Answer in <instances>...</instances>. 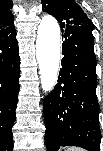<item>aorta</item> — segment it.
<instances>
[{"label": "aorta", "mask_w": 103, "mask_h": 151, "mask_svg": "<svg viewBox=\"0 0 103 151\" xmlns=\"http://www.w3.org/2000/svg\"><path fill=\"white\" fill-rule=\"evenodd\" d=\"M36 57L42 89L50 92L58 79L60 61V27L51 15L42 17L38 26Z\"/></svg>", "instance_id": "1"}]
</instances>
